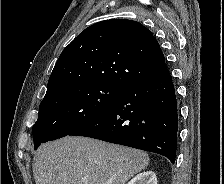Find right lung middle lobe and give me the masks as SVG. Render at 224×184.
<instances>
[{
	"label": "right lung middle lobe",
	"instance_id": "right-lung-middle-lobe-1",
	"mask_svg": "<svg viewBox=\"0 0 224 184\" xmlns=\"http://www.w3.org/2000/svg\"><path fill=\"white\" fill-rule=\"evenodd\" d=\"M126 88L125 85L97 81L70 86L44 99L33 125L34 149L41 143L69 135L104 111Z\"/></svg>",
	"mask_w": 224,
	"mask_h": 184
}]
</instances>
